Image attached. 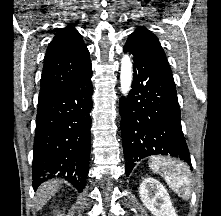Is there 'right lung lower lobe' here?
<instances>
[{"label":"right lung lower lobe","mask_w":221,"mask_h":216,"mask_svg":"<svg viewBox=\"0 0 221 216\" xmlns=\"http://www.w3.org/2000/svg\"><path fill=\"white\" fill-rule=\"evenodd\" d=\"M92 71L38 102L33 156V188L65 175L81 192L88 175Z\"/></svg>","instance_id":"1"}]
</instances>
